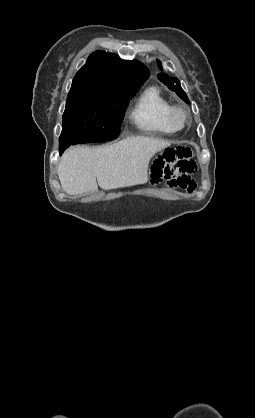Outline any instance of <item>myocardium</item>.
<instances>
[{
  "mask_svg": "<svg viewBox=\"0 0 255 418\" xmlns=\"http://www.w3.org/2000/svg\"><path fill=\"white\" fill-rule=\"evenodd\" d=\"M181 115L182 116V123L178 124L176 121V117L177 115ZM167 120L168 123L170 124V126L175 130H181L183 129L189 120V115H188V111L181 105H171L168 114H167Z\"/></svg>",
  "mask_w": 255,
  "mask_h": 418,
  "instance_id": "myocardium-1",
  "label": "myocardium"
}]
</instances>
